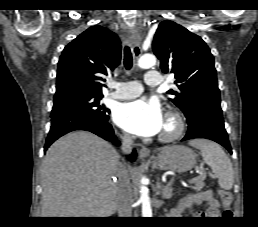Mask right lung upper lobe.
I'll use <instances>...</instances> for the list:
<instances>
[{
    "label": "right lung upper lobe",
    "instance_id": "cb5924a9",
    "mask_svg": "<svg viewBox=\"0 0 258 227\" xmlns=\"http://www.w3.org/2000/svg\"><path fill=\"white\" fill-rule=\"evenodd\" d=\"M121 60V42L112 31L92 26L63 50L58 62L56 93L84 90L102 94V75Z\"/></svg>",
    "mask_w": 258,
    "mask_h": 227
}]
</instances>
